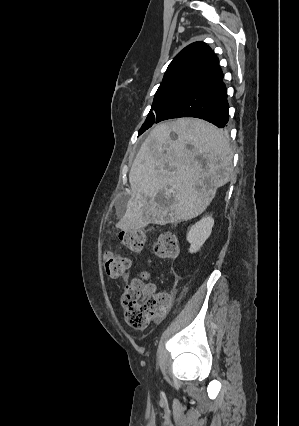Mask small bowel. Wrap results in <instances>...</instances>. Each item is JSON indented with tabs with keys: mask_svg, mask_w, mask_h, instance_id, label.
Returning <instances> with one entry per match:
<instances>
[{
	"mask_svg": "<svg viewBox=\"0 0 299 426\" xmlns=\"http://www.w3.org/2000/svg\"><path fill=\"white\" fill-rule=\"evenodd\" d=\"M129 279V274H126L125 276H124V281H127Z\"/></svg>",
	"mask_w": 299,
	"mask_h": 426,
	"instance_id": "c3829d8e",
	"label": "small bowel"
}]
</instances>
